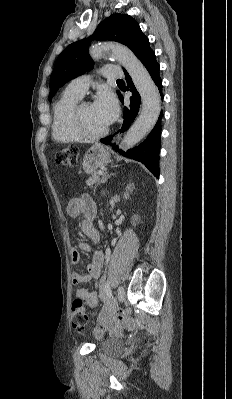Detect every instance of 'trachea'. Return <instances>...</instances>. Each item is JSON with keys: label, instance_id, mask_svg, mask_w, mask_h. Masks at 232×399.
I'll list each match as a JSON object with an SVG mask.
<instances>
[{"label": "trachea", "instance_id": "trachea-1", "mask_svg": "<svg viewBox=\"0 0 232 399\" xmlns=\"http://www.w3.org/2000/svg\"><path fill=\"white\" fill-rule=\"evenodd\" d=\"M119 81H122V79L119 78V79L117 80V82H119Z\"/></svg>", "mask_w": 232, "mask_h": 399}]
</instances>
